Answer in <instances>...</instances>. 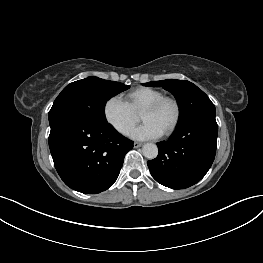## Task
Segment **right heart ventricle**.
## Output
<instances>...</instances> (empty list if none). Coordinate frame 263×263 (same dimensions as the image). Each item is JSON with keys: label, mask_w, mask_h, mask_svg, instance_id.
Segmentation results:
<instances>
[{"label": "right heart ventricle", "mask_w": 263, "mask_h": 263, "mask_svg": "<svg viewBox=\"0 0 263 263\" xmlns=\"http://www.w3.org/2000/svg\"><path fill=\"white\" fill-rule=\"evenodd\" d=\"M163 96L164 93L160 90L139 87L126 94V102L135 113H139L147 104Z\"/></svg>", "instance_id": "1"}]
</instances>
